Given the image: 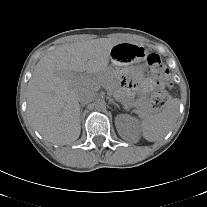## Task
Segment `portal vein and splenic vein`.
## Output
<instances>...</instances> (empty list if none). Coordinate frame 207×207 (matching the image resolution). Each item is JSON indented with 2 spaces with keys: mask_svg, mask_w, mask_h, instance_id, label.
<instances>
[{
  "mask_svg": "<svg viewBox=\"0 0 207 207\" xmlns=\"http://www.w3.org/2000/svg\"><path fill=\"white\" fill-rule=\"evenodd\" d=\"M83 79H85V77H75L74 82H79V81H82ZM92 84H93V87H95V90H97L99 88V86H97L95 81H93Z\"/></svg>",
  "mask_w": 207,
  "mask_h": 207,
  "instance_id": "18ae733b",
  "label": "portal vein and splenic vein"
}]
</instances>
